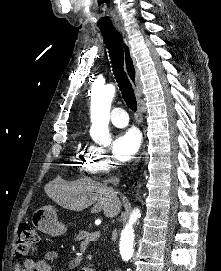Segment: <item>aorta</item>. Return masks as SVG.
I'll use <instances>...</instances> for the list:
<instances>
[{
	"instance_id": "1",
	"label": "aorta",
	"mask_w": 221,
	"mask_h": 271,
	"mask_svg": "<svg viewBox=\"0 0 221 271\" xmlns=\"http://www.w3.org/2000/svg\"><path fill=\"white\" fill-rule=\"evenodd\" d=\"M115 95V87L112 84L105 85L96 92L92 98V120L99 132H106L109 124L111 102ZM139 209H134L129 221L121 231L119 250L122 260L128 261L134 254V229L133 224L140 218Z\"/></svg>"
}]
</instances>
